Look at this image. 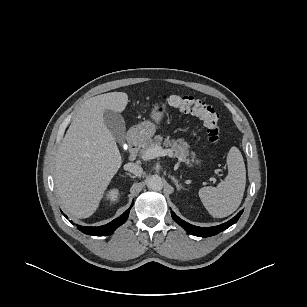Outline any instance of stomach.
<instances>
[{"mask_svg":"<svg viewBox=\"0 0 307 307\" xmlns=\"http://www.w3.org/2000/svg\"><path fill=\"white\" fill-rule=\"evenodd\" d=\"M165 110V104L156 105L151 111L152 119L156 123H159L164 115ZM132 130H134L136 137L139 140H147L154 135L156 131V125L151 121H143L140 124L134 126Z\"/></svg>","mask_w":307,"mask_h":307,"instance_id":"stomach-1","label":"stomach"}]
</instances>
